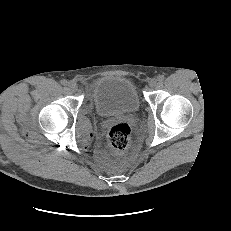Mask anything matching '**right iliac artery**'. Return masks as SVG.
Instances as JSON below:
<instances>
[{
    "label": "right iliac artery",
    "instance_id": "right-iliac-artery-1",
    "mask_svg": "<svg viewBox=\"0 0 231 231\" xmlns=\"http://www.w3.org/2000/svg\"><path fill=\"white\" fill-rule=\"evenodd\" d=\"M61 84L63 85V86H66L67 84H68V82H67V80H61Z\"/></svg>",
    "mask_w": 231,
    "mask_h": 231
}]
</instances>
